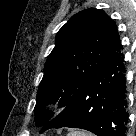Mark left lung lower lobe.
I'll return each mask as SVG.
<instances>
[{
  "instance_id": "left-lung-lower-lobe-1",
  "label": "left lung lower lobe",
  "mask_w": 136,
  "mask_h": 136,
  "mask_svg": "<svg viewBox=\"0 0 136 136\" xmlns=\"http://www.w3.org/2000/svg\"><path fill=\"white\" fill-rule=\"evenodd\" d=\"M119 36L102 65L82 85L74 99L41 129L81 128L97 136H124L125 74Z\"/></svg>"
}]
</instances>
